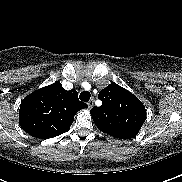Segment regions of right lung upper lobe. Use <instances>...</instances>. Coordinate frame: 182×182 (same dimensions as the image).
Listing matches in <instances>:
<instances>
[{"instance_id": "obj_1", "label": "right lung upper lobe", "mask_w": 182, "mask_h": 182, "mask_svg": "<svg viewBox=\"0 0 182 182\" xmlns=\"http://www.w3.org/2000/svg\"><path fill=\"white\" fill-rule=\"evenodd\" d=\"M87 104L79 101L78 92L66 91L60 82L36 90L20 105L19 123L29 135L48 139L67 132L74 115Z\"/></svg>"}]
</instances>
